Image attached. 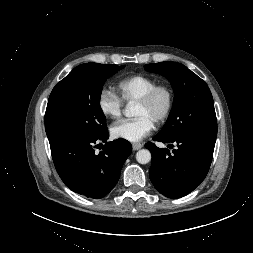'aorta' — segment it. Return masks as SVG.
Wrapping results in <instances>:
<instances>
[{
    "mask_svg": "<svg viewBox=\"0 0 253 253\" xmlns=\"http://www.w3.org/2000/svg\"><path fill=\"white\" fill-rule=\"evenodd\" d=\"M126 117H133L135 113V107L133 103H128L123 111ZM136 160L140 164H147L151 160V153L147 149H141L136 153Z\"/></svg>",
    "mask_w": 253,
    "mask_h": 253,
    "instance_id": "1",
    "label": "aorta"
}]
</instances>
